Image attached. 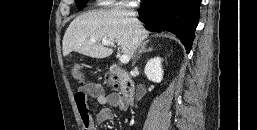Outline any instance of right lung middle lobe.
I'll list each match as a JSON object with an SVG mask.
<instances>
[{
	"instance_id": "obj_1",
	"label": "right lung middle lobe",
	"mask_w": 257,
	"mask_h": 130,
	"mask_svg": "<svg viewBox=\"0 0 257 130\" xmlns=\"http://www.w3.org/2000/svg\"><path fill=\"white\" fill-rule=\"evenodd\" d=\"M78 8H83L87 0H75Z\"/></svg>"
}]
</instances>
